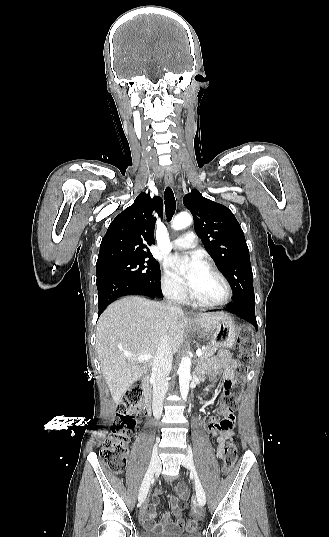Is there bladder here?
I'll return each instance as SVG.
<instances>
[{"label":"bladder","mask_w":329,"mask_h":537,"mask_svg":"<svg viewBox=\"0 0 329 537\" xmlns=\"http://www.w3.org/2000/svg\"><path fill=\"white\" fill-rule=\"evenodd\" d=\"M142 537H200V534L197 531H192L185 534H168L157 533L150 530H143Z\"/></svg>","instance_id":"obj_1"}]
</instances>
